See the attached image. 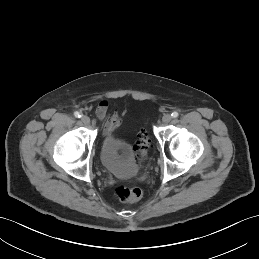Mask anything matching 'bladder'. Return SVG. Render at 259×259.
<instances>
[{
  "mask_svg": "<svg viewBox=\"0 0 259 259\" xmlns=\"http://www.w3.org/2000/svg\"><path fill=\"white\" fill-rule=\"evenodd\" d=\"M100 162L109 173L118 177L132 176L137 171L132 145L115 135L102 141Z\"/></svg>",
  "mask_w": 259,
  "mask_h": 259,
  "instance_id": "bladder-1",
  "label": "bladder"
}]
</instances>
